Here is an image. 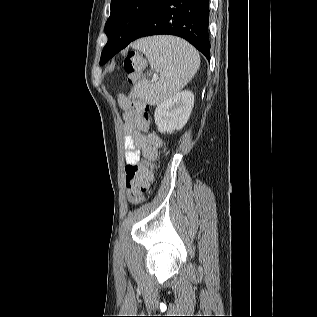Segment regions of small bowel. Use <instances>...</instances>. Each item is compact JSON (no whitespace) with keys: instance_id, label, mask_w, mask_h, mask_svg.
Here are the masks:
<instances>
[{"instance_id":"1","label":"small bowel","mask_w":317,"mask_h":317,"mask_svg":"<svg viewBox=\"0 0 317 317\" xmlns=\"http://www.w3.org/2000/svg\"><path fill=\"white\" fill-rule=\"evenodd\" d=\"M117 99L123 110L126 165L138 164L142 157L150 161L155 160L162 146V140L158 135L145 132L137 125V119L144 105L124 93H120Z\"/></svg>"}]
</instances>
